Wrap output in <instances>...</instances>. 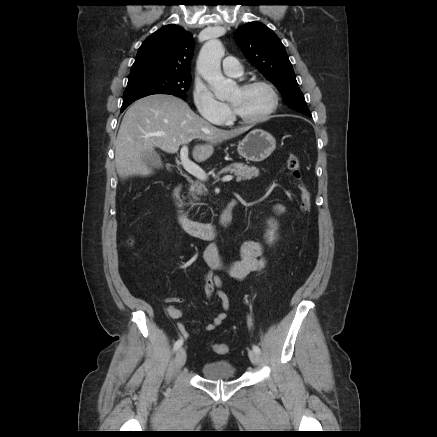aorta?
I'll list each match as a JSON object with an SVG mask.
<instances>
[{
  "mask_svg": "<svg viewBox=\"0 0 437 437\" xmlns=\"http://www.w3.org/2000/svg\"><path fill=\"white\" fill-rule=\"evenodd\" d=\"M225 53L218 39L207 41L198 56L197 70L212 88L216 98H227L237 89L236 82L225 79L221 72V59Z\"/></svg>",
  "mask_w": 437,
  "mask_h": 437,
  "instance_id": "1",
  "label": "aorta"
}]
</instances>
